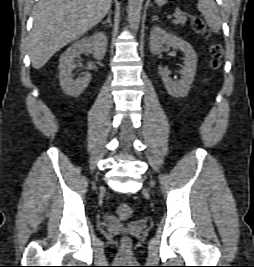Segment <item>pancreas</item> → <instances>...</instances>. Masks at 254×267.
<instances>
[{"label": "pancreas", "instance_id": "1", "mask_svg": "<svg viewBox=\"0 0 254 267\" xmlns=\"http://www.w3.org/2000/svg\"><path fill=\"white\" fill-rule=\"evenodd\" d=\"M186 17L185 16H178L174 19L173 23L176 24V25H181L183 26L185 23H186Z\"/></svg>", "mask_w": 254, "mask_h": 267}]
</instances>
